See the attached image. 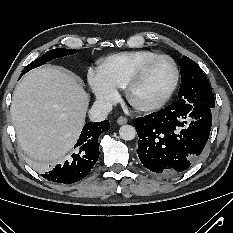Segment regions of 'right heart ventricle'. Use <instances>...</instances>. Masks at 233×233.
Masks as SVG:
<instances>
[{"instance_id":"e07e8e85","label":"right heart ventricle","mask_w":233,"mask_h":233,"mask_svg":"<svg viewBox=\"0 0 233 233\" xmlns=\"http://www.w3.org/2000/svg\"><path fill=\"white\" fill-rule=\"evenodd\" d=\"M157 53L134 50L112 54L99 67L105 79L115 88H123L131 73L146 59Z\"/></svg>"}]
</instances>
